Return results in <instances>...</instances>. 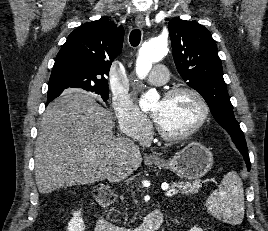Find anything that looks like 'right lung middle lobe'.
<instances>
[{"mask_svg": "<svg viewBox=\"0 0 268 231\" xmlns=\"http://www.w3.org/2000/svg\"><path fill=\"white\" fill-rule=\"evenodd\" d=\"M62 91H63V88H51V89H48V95L60 94ZM90 91L101 95V97L104 101H106L109 97V89H93Z\"/></svg>", "mask_w": 268, "mask_h": 231, "instance_id": "dd1d6c3e", "label": "right lung middle lobe"}]
</instances>
